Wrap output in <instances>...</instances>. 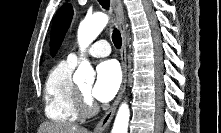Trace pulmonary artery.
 Masks as SVG:
<instances>
[{
	"label": "pulmonary artery",
	"instance_id": "1",
	"mask_svg": "<svg viewBox=\"0 0 221 133\" xmlns=\"http://www.w3.org/2000/svg\"><path fill=\"white\" fill-rule=\"evenodd\" d=\"M110 52L111 48L107 41H98L88 50V54L92 57H106L110 54ZM67 60L77 64L79 61V56L77 53H70Z\"/></svg>",
	"mask_w": 221,
	"mask_h": 133
}]
</instances>
